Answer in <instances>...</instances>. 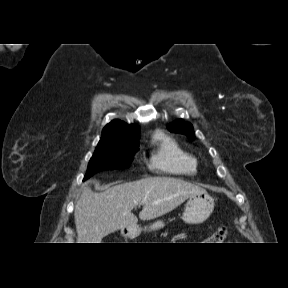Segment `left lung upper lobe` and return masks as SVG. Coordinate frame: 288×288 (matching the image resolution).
<instances>
[{
  "instance_id": "1",
  "label": "left lung upper lobe",
  "mask_w": 288,
  "mask_h": 288,
  "mask_svg": "<svg viewBox=\"0 0 288 288\" xmlns=\"http://www.w3.org/2000/svg\"><path fill=\"white\" fill-rule=\"evenodd\" d=\"M168 129L172 132L182 133L187 135L190 139L194 137L193 127L190 123L179 120L168 126Z\"/></svg>"
}]
</instances>
